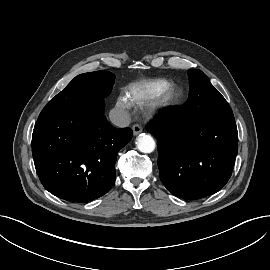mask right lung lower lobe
<instances>
[{
    "label": "right lung lower lobe",
    "instance_id": "98d812e1",
    "mask_svg": "<svg viewBox=\"0 0 270 270\" xmlns=\"http://www.w3.org/2000/svg\"><path fill=\"white\" fill-rule=\"evenodd\" d=\"M104 101L40 113L32 135L35 168L44 188L71 202H90L115 182L118 151L132 137L103 114Z\"/></svg>",
    "mask_w": 270,
    "mask_h": 270
}]
</instances>
